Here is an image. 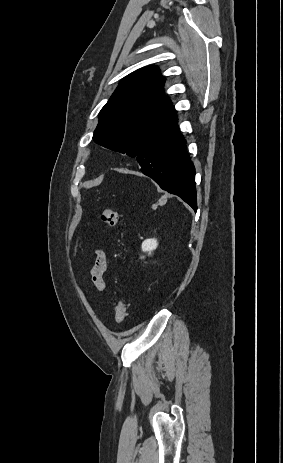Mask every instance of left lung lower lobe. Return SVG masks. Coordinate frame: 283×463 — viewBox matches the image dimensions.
I'll return each mask as SVG.
<instances>
[{
    "instance_id": "0a47b994",
    "label": "left lung lower lobe",
    "mask_w": 283,
    "mask_h": 463,
    "mask_svg": "<svg viewBox=\"0 0 283 463\" xmlns=\"http://www.w3.org/2000/svg\"><path fill=\"white\" fill-rule=\"evenodd\" d=\"M136 160L143 174L196 211L195 168L177 126V117L152 137Z\"/></svg>"
}]
</instances>
